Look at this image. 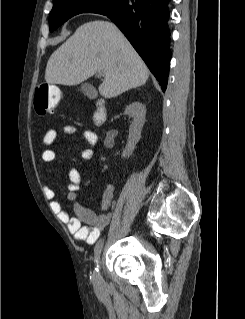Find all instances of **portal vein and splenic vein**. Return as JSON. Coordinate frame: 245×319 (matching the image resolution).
<instances>
[{
	"label": "portal vein and splenic vein",
	"instance_id": "1",
	"mask_svg": "<svg viewBox=\"0 0 245 319\" xmlns=\"http://www.w3.org/2000/svg\"><path fill=\"white\" fill-rule=\"evenodd\" d=\"M98 75L102 76V75H104V72L100 70V71H98Z\"/></svg>",
	"mask_w": 245,
	"mask_h": 319
}]
</instances>
